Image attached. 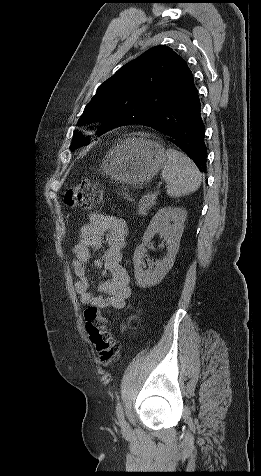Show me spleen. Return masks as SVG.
<instances>
[{
    "label": "spleen",
    "mask_w": 261,
    "mask_h": 476,
    "mask_svg": "<svg viewBox=\"0 0 261 476\" xmlns=\"http://www.w3.org/2000/svg\"><path fill=\"white\" fill-rule=\"evenodd\" d=\"M165 154L166 162L161 176L167 183V194L171 197H181L198 190L202 175L195 163L175 149H168Z\"/></svg>",
    "instance_id": "obj_1"
}]
</instances>
